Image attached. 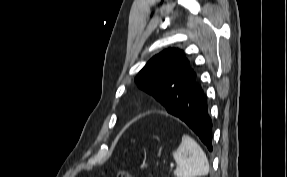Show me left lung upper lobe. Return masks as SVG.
Instances as JSON below:
<instances>
[{"label":"left lung upper lobe","instance_id":"5c2ea615","mask_svg":"<svg viewBox=\"0 0 287 177\" xmlns=\"http://www.w3.org/2000/svg\"><path fill=\"white\" fill-rule=\"evenodd\" d=\"M138 87L153 95L169 111L171 97L195 85L196 73L183 51L168 48L155 55L135 78Z\"/></svg>","mask_w":287,"mask_h":177}]
</instances>
